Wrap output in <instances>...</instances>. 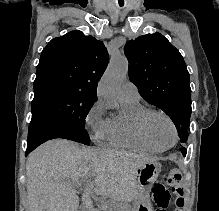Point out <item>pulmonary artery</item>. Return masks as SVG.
I'll list each match as a JSON object with an SVG mask.
<instances>
[{"instance_id": "obj_1", "label": "pulmonary artery", "mask_w": 219, "mask_h": 211, "mask_svg": "<svg viewBox=\"0 0 219 211\" xmlns=\"http://www.w3.org/2000/svg\"><path fill=\"white\" fill-rule=\"evenodd\" d=\"M120 100L138 102L140 100V94L137 86L130 81H126L121 88Z\"/></svg>"}]
</instances>
